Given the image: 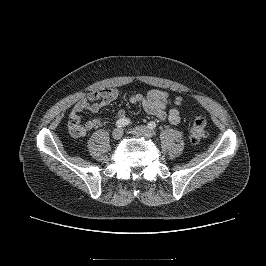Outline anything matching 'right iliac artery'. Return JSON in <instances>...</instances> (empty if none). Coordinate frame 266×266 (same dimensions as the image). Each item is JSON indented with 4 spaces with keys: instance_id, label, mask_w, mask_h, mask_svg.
I'll return each instance as SVG.
<instances>
[{
    "instance_id": "right-iliac-artery-1",
    "label": "right iliac artery",
    "mask_w": 266,
    "mask_h": 266,
    "mask_svg": "<svg viewBox=\"0 0 266 266\" xmlns=\"http://www.w3.org/2000/svg\"><path fill=\"white\" fill-rule=\"evenodd\" d=\"M131 123V121L128 118H120L116 121V126L117 127H125L127 125H129Z\"/></svg>"
}]
</instances>
